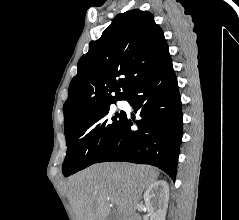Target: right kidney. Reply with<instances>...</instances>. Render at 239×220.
Returning <instances> with one entry per match:
<instances>
[{
	"label": "right kidney",
	"instance_id": "obj_1",
	"mask_svg": "<svg viewBox=\"0 0 239 220\" xmlns=\"http://www.w3.org/2000/svg\"><path fill=\"white\" fill-rule=\"evenodd\" d=\"M169 200V186L166 181L152 183L144 193V201L150 220H165Z\"/></svg>",
	"mask_w": 239,
	"mask_h": 220
}]
</instances>
